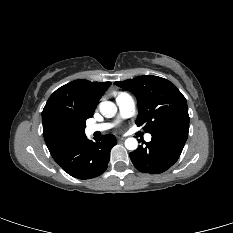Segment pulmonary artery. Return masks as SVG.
I'll list each match as a JSON object with an SVG mask.
<instances>
[{
  "mask_svg": "<svg viewBox=\"0 0 233 233\" xmlns=\"http://www.w3.org/2000/svg\"><path fill=\"white\" fill-rule=\"evenodd\" d=\"M117 105L119 108V117L128 118L130 117L135 110V101L132 96L124 94L116 98ZM113 126L112 123H99V124H90L86 127V132L88 134H93L95 132H102L110 129ZM152 138L151 134L145 136L146 141H150Z\"/></svg>",
  "mask_w": 233,
  "mask_h": 233,
  "instance_id": "1",
  "label": "pulmonary artery"
}]
</instances>
